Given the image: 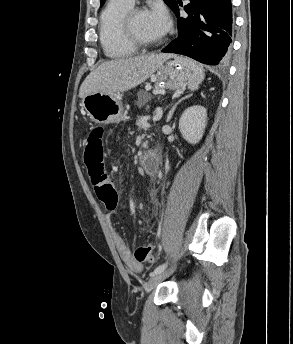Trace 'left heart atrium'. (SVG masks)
Instances as JSON below:
<instances>
[{"label": "left heart atrium", "instance_id": "left-heart-atrium-1", "mask_svg": "<svg viewBox=\"0 0 293 344\" xmlns=\"http://www.w3.org/2000/svg\"><path fill=\"white\" fill-rule=\"evenodd\" d=\"M151 26L159 35H164L170 28V18L166 9L162 5H154L146 12Z\"/></svg>", "mask_w": 293, "mask_h": 344}]
</instances>
